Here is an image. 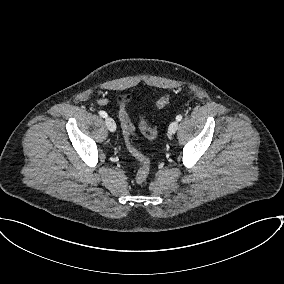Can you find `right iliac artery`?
Returning <instances> with one entry per match:
<instances>
[{"mask_svg": "<svg viewBox=\"0 0 284 284\" xmlns=\"http://www.w3.org/2000/svg\"><path fill=\"white\" fill-rule=\"evenodd\" d=\"M99 115L103 118H106L108 116L105 111H99Z\"/></svg>", "mask_w": 284, "mask_h": 284, "instance_id": "obj_1", "label": "right iliac artery"}]
</instances>
